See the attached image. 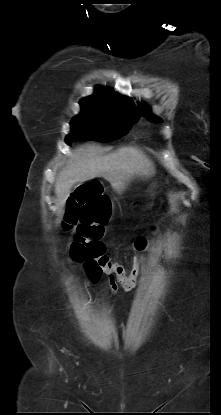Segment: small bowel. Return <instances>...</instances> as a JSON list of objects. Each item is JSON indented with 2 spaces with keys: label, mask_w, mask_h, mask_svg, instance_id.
<instances>
[{
  "label": "small bowel",
  "mask_w": 221,
  "mask_h": 415,
  "mask_svg": "<svg viewBox=\"0 0 221 415\" xmlns=\"http://www.w3.org/2000/svg\"><path fill=\"white\" fill-rule=\"evenodd\" d=\"M109 284H110V288L113 292H116L118 290V285L119 284H117V283H109Z\"/></svg>",
  "instance_id": "c3829d8e"
}]
</instances>
